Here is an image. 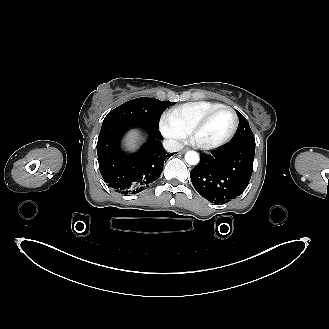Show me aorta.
I'll use <instances>...</instances> for the list:
<instances>
[{
  "instance_id": "1",
  "label": "aorta",
  "mask_w": 329,
  "mask_h": 329,
  "mask_svg": "<svg viewBox=\"0 0 329 329\" xmlns=\"http://www.w3.org/2000/svg\"><path fill=\"white\" fill-rule=\"evenodd\" d=\"M199 154L195 151H188L185 154V161L189 165H197L199 163Z\"/></svg>"
}]
</instances>
